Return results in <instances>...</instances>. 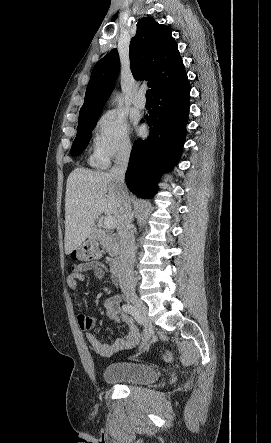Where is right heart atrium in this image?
Returning <instances> with one entry per match:
<instances>
[{
  "label": "right heart atrium",
  "mask_w": 271,
  "mask_h": 443,
  "mask_svg": "<svg viewBox=\"0 0 271 443\" xmlns=\"http://www.w3.org/2000/svg\"><path fill=\"white\" fill-rule=\"evenodd\" d=\"M131 128L115 111L103 112L95 121L91 138L92 158L97 165L125 156L132 150Z\"/></svg>",
  "instance_id": "right-heart-atrium-1"
}]
</instances>
